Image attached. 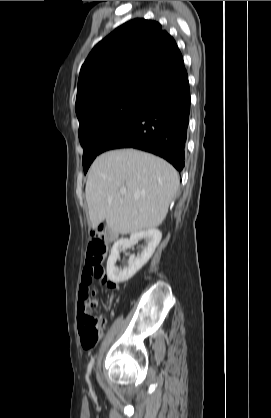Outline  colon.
Instances as JSON below:
<instances>
[{"mask_svg": "<svg viewBox=\"0 0 271 418\" xmlns=\"http://www.w3.org/2000/svg\"><path fill=\"white\" fill-rule=\"evenodd\" d=\"M107 247V238L102 228H99L92 233L87 249V282H90V284L93 279H98L101 282L106 281L101 263L106 255ZM88 290L89 287L83 293V300L85 301L89 300ZM78 321L81 344L84 349H91L96 345L106 321L104 318L94 316L92 312L87 309H82L79 312Z\"/></svg>", "mask_w": 271, "mask_h": 418, "instance_id": "1", "label": "colon"}]
</instances>
